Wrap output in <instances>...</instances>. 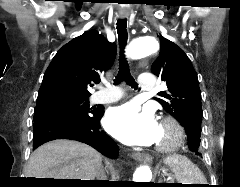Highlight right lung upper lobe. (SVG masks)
<instances>
[{"mask_svg":"<svg viewBox=\"0 0 240 187\" xmlns=\"http://www.w3.org/2000/svg\"><path fill=\"white\" fill-rule=\"evenodd\" d=\"M116 44L96 30L84 32L64 45L49 64L38 92L37 104L59 99L86 98L99 73L107 71L116 57Z\"/></svg>","mask_w":240,"mask_h":187,"instance_id":"1","label":"right lung upper lobe"}]
</instances>
